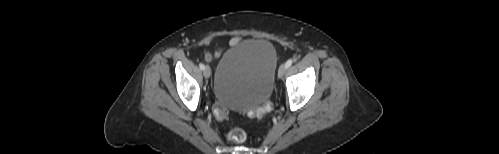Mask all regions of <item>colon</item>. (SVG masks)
<instances>
[{"label":"colon","mask_w":499,"mask_h":154,"mask_svg":"<svg viewBox=\"0 0 499 154\" xmlns=\"http://www.w3.org/2000/svg\"><path fill=\"white\" fill-rule=\"evenodd\" d=\"M271 108H272L271 102H266L261 107L249 110L248 115L250 117H260L263 116L265 113H267L269 110H271ZM228 114L229 110L224 105H222L219 102L214 104L213 115L217 121L222 122L226 120ZM227 139L235 143H242L246 140V133L240 128H234L228 132Z\"/></svg>","instance_id":"1"}]
</instances>
